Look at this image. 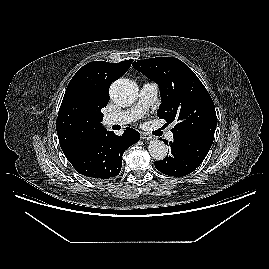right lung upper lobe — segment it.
I'll use <instances>...</instances> for the list:
<instances>
[{"label":"right lung upper lobe","mask_w":269,"mask_h":269,"mask_svg":"<svg viewBox=\"0 0 269 269\" xmlns=\"http://www.w3.org/2000/svg\"><path fill=\"white\" fill-rule=\"evenodd\" d=\"M132 62H89L72 77L56 120L59 143L64 153L106 131L101 124V109L109 102L110 85L126 73Z\"/></svg>","instance_id":"cb5924a9"}]
</instances>
